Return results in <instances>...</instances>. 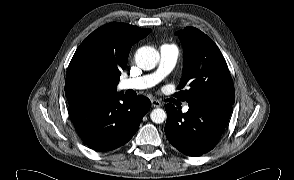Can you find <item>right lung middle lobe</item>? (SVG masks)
<instances>
[{
	"mask_svg": "<svg viewBox=\"0 0 294 180\" xmlns=\"http://www.w3.org/2000/svg\"><path fill=\"white\" fill-rule=\"evenodd\" d=\"M101 76L93 69H84L78 76L77 89L85 95L94 94L100 88Z\"/></svg>",
	"mask_w": 294,
	"mask_h": 180,
	"instance_id": "right-lung-middle-lobe-1",
	"label": "right lung middle lobe"
}]
</instances>
